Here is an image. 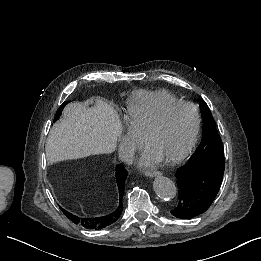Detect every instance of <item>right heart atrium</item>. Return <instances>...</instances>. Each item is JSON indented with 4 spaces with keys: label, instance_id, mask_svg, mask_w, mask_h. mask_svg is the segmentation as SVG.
I'll return each mask as SVG.
<instances>
[{
    "label": "right heart atrium",
    "instance_id": "d8ad5b80",
    "mask_svg": "<svg viewBox=\"0 0 261 261\" xmlns=\"http://www.w3.org/2000/svg\"><path fill=\"white\" fill-rule=\"evenodd\" d=\"M119 112H120V110H119ZM120 115H121V112H120ZM121 117H122V115H121ZM122 119H123V122H124V125H125V137H124L122 144H126V145L130 146L131 145L130 139H131V136H132V126L126 118L122 117ZM126 160H128V157H126Z\"/></svg>",
    "mask_w": 261,
    "mask_h": 261
}]
</instances>
